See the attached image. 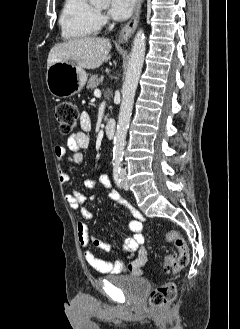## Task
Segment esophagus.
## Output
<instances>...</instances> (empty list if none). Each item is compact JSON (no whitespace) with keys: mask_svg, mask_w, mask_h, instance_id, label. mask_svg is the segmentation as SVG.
Returning a JSON list of instances; mask_svg holds the SVG:
<instances>
[{"mask_svg":"<svg viewBox=\"0 0 240 329\" xmlns=\"http://www.w3.org/2000/svg\"><path fill=\"white\" fill-rule=\"evenodd\" d=\"M143 0H136L134 12L131 19L127 22V24L122 28L119 34V41L124 43L127 42L131 35L134 33L141 14Z\"/></svg>","mask_w":240,"mask_h":329,"instance_id":"obj_1","label":"esophagus"}]
</instances>
